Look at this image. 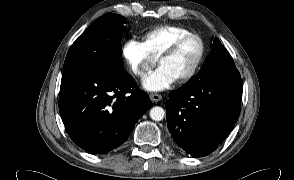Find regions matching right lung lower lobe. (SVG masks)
<instances>
[{"mask_svg":"<svg viewBox=\"0 0 294 180\" xmlns=\"http://www.w3.org/2000/svg\"><path fill=\"white\" fill-rule=\"evenodd\" d=\"M129 74L80 71L62 77L59 110L78 146L95 154L123 144L151 101Z\"/></svg>","mask_w":294,"mask_h":180,"instance_id":"obj_1","label":"right lung lower lobe"}]
</instances>
